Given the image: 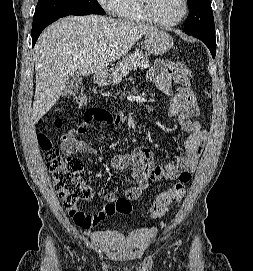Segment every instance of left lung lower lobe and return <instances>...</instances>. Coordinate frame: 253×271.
I'll list each match as a JSON object with an SVG mask.
<instances>
[{
  "mask_svg": "<svg viewBox=\"0 0 253 271\" xmlns=\"http://www.w3.org/2000/svg\"><path fill=\"white\" fill-rule=\"evenodd\" d=\"M188 35H192L200 39L209 48L212 54V57L215 58V55H216L215 35H208V34H203V33H193V34H188Z\"/></svg>",
  "mask_w": 253,
  "mask_h": 271,
  "instance_id": "obj_1",
  "label": "left lung lower lobe"
}]
</instances>
